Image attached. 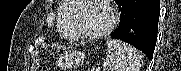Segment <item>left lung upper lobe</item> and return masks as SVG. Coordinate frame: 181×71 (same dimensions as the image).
<instances>
[{
  "mask_svg": "<svg viewBox=\"0 0 181 71\" xmlns=\"http://www.w3.org/2000/svg\"><path fill=\"white\" fill-rule=\"evenodd\" d=\"M115 1H116V3H118L119 0H115Z\"/></svg>",
  "mask_w": 181,
  "mask_h": 71,
  "instance_id": "1",
  "label": "left lung upper lobe"
}]
</instances>
